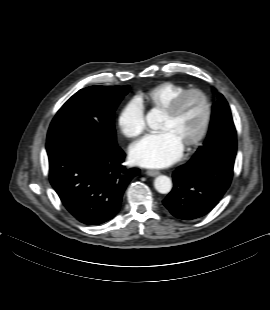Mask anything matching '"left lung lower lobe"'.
<instances>
[{
    "mask_svg": "<svg viewBox=\"0 0 270 310\" xmlns=\"http://www.w3.org/2000/svg\"><path fill=\"white\" fill-rule=\"evenodd\" d=\"M233 167L190 160L173 173V189L163 200L170 213L181 220L208 214L230 186Z\"/></svg>",
    "mask_w": 270,
    "mask_h": 310,
    "instance_id": "left-lung-lower-lobe-1",
    "label": "left lung lower lobe"
}]
</instances>
